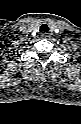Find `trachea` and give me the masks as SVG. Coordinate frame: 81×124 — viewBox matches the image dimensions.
I'll use <instances>...</instances> for the list:
<instances>
[{
  "instance_id": "1",
  "label": "trachea",
  "mask_w": 81,
  "mask_h": 124,
  "mask_svg": "<svg viewBox=\"0 0 81 124\" xmlns=\"http://www.w3.org/2000/svg\"><path fill=\"white\" fill-rule=\"evenodd\" d=\"M48 31H49V27L47 24H42L40 26V32H46L47 33Z\"/></svg>"
}]
</instances>
